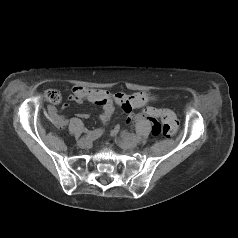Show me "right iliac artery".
I'll return each mask as SVG.
<instances>
[{
	"instance_id": "right-iliac-artery-1",
	"label": "right iliac artery",
	"mask_w": 238,
	"mask_h": 238,
	"mask_svg": "<svg viewBox=\"0 0 238 238\" xmlns=\"http://www.w3.org/2000/svg\"><path fill=\"white\" fill-rule=\"evenodd\" d=\"M102 134H103V130L102 129H96L94 131L88 132L86 137L88 139H96V138L100 137Z\"/></svg>"
}]
</instances>
